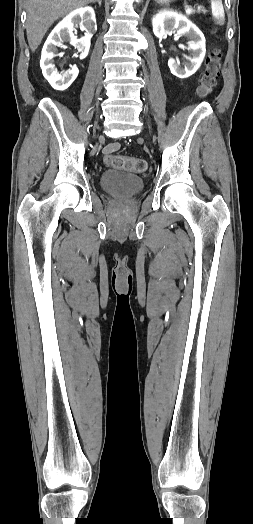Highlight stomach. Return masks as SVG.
Masks as SVG:
<instances>
[{
  "instance_id": "obj_1",
  "label": "stomach",
  "mask_w": 253,
  "mask_h": 524,
  "mask_svg": "<svg viewBox=\"0 0 253 524\" xmlns=\"http://www.w3.org/2000/svg\"><path fill=\"white\" fill-rule=\"evenodd\" d=\"M155 1H157L158 3H161V4H168V3H170V2H172L174 0H155Z\"/></svg>"
}]
</instances>
